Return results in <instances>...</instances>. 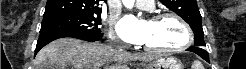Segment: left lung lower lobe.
Returning a JSON list of instances; mask_svg holds the SVG:
<instances>
[{
  "label": "left lung lower lobe",
  "mask_w": 246,
  "mask_h": 69,
  "mask_svg": "<svg viewBox=\"0 0 246 69\" xmlns=\"http://www.w3.org/2000/svg\"><path fill=\"white\" fill-rule=\"evenodd\" d=\"M187 51L194 52V53L198 54L200 57H202L204 60L209 62V54L203 48L194 46V47L188 48Z\"/></svg>",
  "instance_id": "0a47b994"
}]
</instances>
